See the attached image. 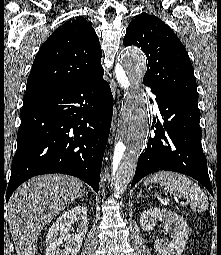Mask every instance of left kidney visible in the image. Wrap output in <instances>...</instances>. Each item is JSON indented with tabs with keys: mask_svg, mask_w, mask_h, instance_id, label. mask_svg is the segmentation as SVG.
<instances>
[{
	"mask_svg": "<svg viewBox=\"0 0 221 255\" xmlns=\"http://www.w3.org/2000/svg\"><path fill=\"white\" fill-rule=\"evenodd\" d=\"M157 220L166 223V229L170 231L172 240L165 242L157 239L154 248L160 255H181L188 239V225L178 214L170 210L151 208L144 211L140 216V226L145 231L153 230Z\"/></svg>",
	"mask_w": 221,
	"mask_h": 255,
	"instance_id": "5707ae66",
	"label": "left kidney"
}]
</instances>
